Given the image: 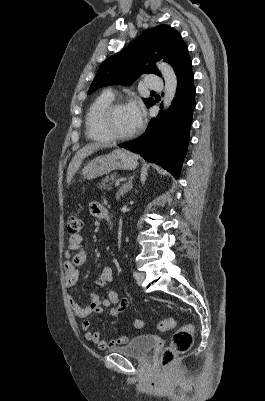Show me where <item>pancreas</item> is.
<instances>
[{
	"label": "pancreas",
	"instance_id": "cf45deb5",
	"mask_svg": "<svg viewBox=\"0 0 265 401\" xmlns=\"http://www.w3.org/2000/svg\"><path fill=\"white\" fill-rule=\"evenodd\" d=\"M118 178L117 172H113V174H107L105 178H102L101 182H98L100 188H107V190H111L112 182Z\"/></svg>",
	"mask_w": 265,
	"mask_h": 401
}]
</instances>
